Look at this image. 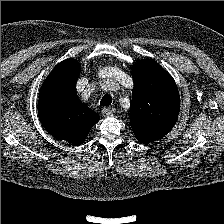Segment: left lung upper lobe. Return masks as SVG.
I'll use <instances>...</instances> for the list:
<instances>
[{
	"mask_svg": "<svg viewBox=\"0 0 224 224\" xmlns=\"http://www.w3.org/2000/svg\"><path fill=\"white\" fill-rule=\"evenodd\" d=\"M132 78V130L149 142L159 140L172 130L179 115L180 96L176 83L167 71L150 59L133 65Z\"/></svg>",
	"mask_w": 224,
	"mask_h": 224,
	"instance_id": "5c2ea615",
	"label": "left lung upper lobe"
}]
</instances>
